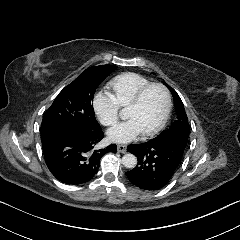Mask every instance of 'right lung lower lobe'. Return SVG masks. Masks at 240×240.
I'll use <instances>...</instances> for the list:
<instances>
[{
	"label": "right lung lower lobe",
	"mask_w": 240,
	"mask_h": 240,
	"mask_svg": "<svg viewBox=\"0 0 240 240\" xmlns=\"http://www.w3.org/2000/svg\"><path fill=\"white\" fill-rule=\"evenodd\" d=\"M103 137L101 128H75L42 136V149L48 169L65 184L78 185L91 180L98 172L102 156L117 151L115 144L97 149L95 145Z\"/></svg>",
	"instance_id": "right-lung-lower-lobe-1"
}]
</instances>
